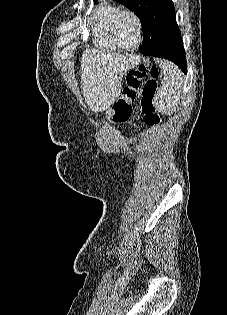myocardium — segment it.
<instances>
[{
  "label": "myocardium",
  "instance_id": "1",
  "mask_svg": "<svg viewBox=\"0 0 227 315\" xmlns=\"http://www.w3.org/2000/svg\"><path fill=\"white\" fill-rule=\"evenodd\" d=\"M125 16L132 17L134 19L135 23H136V26H137V42L132 47H125V46H123L120 43V41L118 39V36H117V32H116V29H117V26H118L119 22ZM111 35H112V39H113L114 43L121 50L134 51V50L138 49L139 46L143 42V22H142L141 17L134 10H131V9H122V10H120L119 13L115 16V18H114V20L112 22Z\"/></svg>",
  "mask_w": 227,
  "mask_h": 315
}]
</instances>
